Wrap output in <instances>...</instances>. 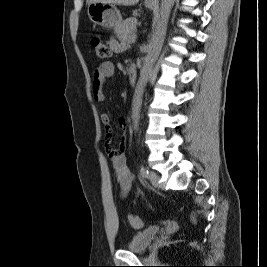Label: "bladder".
I'll return each instance as SVG.
<instances>
[{
  "mask_svg": "<svg viewBox=\"0 0 267 267\" xmlns=\"http://www.w3.org/2000/svg\"><path fill=\"white\" fill-rule=\"evenodd\" d=\"M159 231L160 228L158 226H151L137 232L127 243V250L132 252H143L147 250L158 235Z\"/></svg>",
  "mask_w": 267,
  "mask_h": 267,
  "instance_id": "obj_1",
  "label": "bladder"
}]
</instances>
